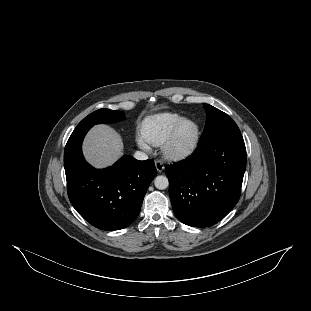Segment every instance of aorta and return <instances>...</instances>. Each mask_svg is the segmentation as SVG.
Returning a JSON list of instances; mask_svg holds the SVG:
<instances>
[{
    "label": "aorta",
    "instance_id": "762f6f07",
    "mask_svg": "<svg viewBox=\"0 0 311 311\" xmlns=\"http://www.w3.org/2000/svg\"><path fill=\"white\" fill-rule=\"evenodd\" d=\"M154 185L159 190H164L169 186V180L166 176H157L154 180Z\"/></svg>",
    "mask_w": 311,
    "mask_h": 311
}]
</instances>
